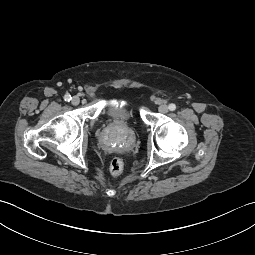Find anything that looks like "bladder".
<instances>
[{
    "mask_svg": "<svg viewBox=\"0 0 255 255\" xmlns=\"http://www.w3.org/2000/svg\"><path fill=\"white\" fill-rule=\"evenodd\" d=\"M104 115L111 120H131L135 111L128 101H110L104 107Z\"/></svg>",
    "mask_w": 255,
    "mask_h": 255,
    "instance_id": "obj_1",
    "label": "bladder"
}]
</instances>
